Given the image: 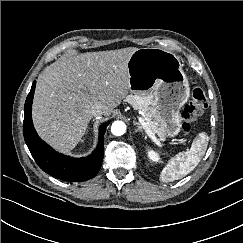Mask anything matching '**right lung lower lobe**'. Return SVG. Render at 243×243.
I'll use <instances>...</instances> for the list:
<instances>
[{
    "instance_id": "obj_1",
    "label": "right lung lower lobe",
    "mask_w": 243,
    "mask_h": 243,
    "mask_svg": "<svg viewBox=\"0 0 243 243\" xmlns=\"http://www.w3.org/2000/svg\"><path fill=\"white\" fill-rule=\"evenodd\" d=\"M36 81L27 96L24 112L23 134L25 142L37 165L46 173L64 181L80 182L92 178L103 161L104 133L108 123L100 126L97 148L84 158H72L56 152L37 135L32 123V102Z\"/></svg>"
}]
</instances>
